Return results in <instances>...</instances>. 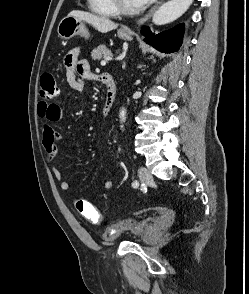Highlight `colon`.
<instances>
[{"instance_id":"obj_1","label":"colon","mask_w":249,"mask_h":294,"mask_svg":"<svg viewBox=\"0 0 249 294\" xmlns=\"http://www.w3.org/2000/svg\"><path fill=\"white\" fill-rule=\"evenodd\" d=\"M40 96L44 101L51 100L58 95L59 88L56 79L51 73H44L40 79ZM77 212L92 224L99 225L102 222L100 212L87 200L78 199L75 202Z\"/></svg>"}]
</instances>
